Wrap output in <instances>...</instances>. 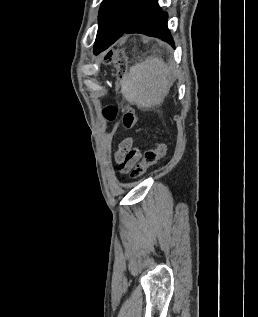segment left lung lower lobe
<instances>
[{
    "mask_svg": "<svg viewBox=\"0 0 258 317\" xmlns=\"http://www.w3.org/2000/svg\"><path fill=\"white\" fill-rule=\"evenodd\" d=\"M168 15L157 0H131L127 17L121 28H99L94 44V54H99L112 45L124 33H141L157 37L175 47L167 27Z\"/></svg>",
    "mask_w": 258,
    "mask_h": 317,
    "instance_id": "0a47b994",
    "label": "left lung lower lobe"
}]
</instances>
